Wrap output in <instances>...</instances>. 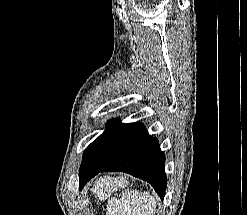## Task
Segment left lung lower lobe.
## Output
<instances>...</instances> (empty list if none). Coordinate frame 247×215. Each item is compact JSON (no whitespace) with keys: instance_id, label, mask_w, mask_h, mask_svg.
Instances as JSON below:
<instances>
[{"instance_id":"1","label":"left lung lower lobe","mask_w":247,"mask_h":215,"mask_svg":"<svg viewBox=\"0 0 247 215\" xmlns=\"http://www.w3.org/2000/svg\"><path fill=\"white\" fill-rule=\"evenodd\" d=\"M165 155L142 123L117 120L85 150L79 189L100 172L122 171L149 182L161 199L167 185Z\"/></svg>"}]
</instances>
